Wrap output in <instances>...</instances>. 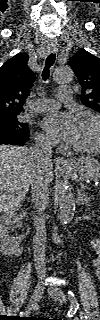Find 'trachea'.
Returning a JSON list of instances; mask_svg holds the SVG:
<instances>
[{
	"label": "trachea",
	"mask_w": 100,
	"mask_h": 320,
	"mask_svg": "<svg viewBox=\"0 0 100 320\" xmlns=\"http://www.w3.org/2000/svg\"><path fill=\"white\" fill-rule=\"evenodd\" d=\"M55 59H56V56L55 54L51 53L47 59H46V66L42 72V79L44 81L48 80L49 78V68L54 64L55 62Z\"/></svg>",
	"instance_id": "trachea-1"
}]
</instances>
